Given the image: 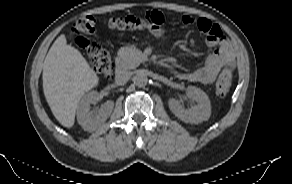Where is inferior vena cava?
<instances>
[{
  "label": "inferior vena cava",
  "instance_id": "inferior-vena-cava-1",
  "mask_svg": "<svg viewBox=\"0 0 292 184\" xmlns=\"http://www.w3.org/2000/svg\"><path fill=\"white\" fill-rule=\"evenodd\" d=\"M131 75L132 73L127 70L117 71L115 75V83L117 85H124L129 81Z\"/></svg>",
  "mask_w": 292,
  "mask_h": 184
}]
</instances>
